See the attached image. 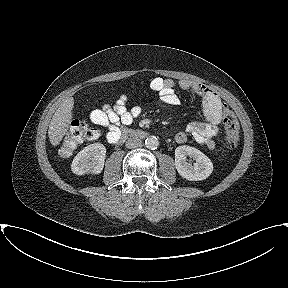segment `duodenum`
<instances>
[{
  "mask_svg": "<svg viewBox=\"0 0 288 288\" xmlns=\"http://www.w3.org/2000/svg\"><path fill=\"white\" fill-rule=\"evenodd\" d=\"M147 135L145 131L142 130H130L125 129L122 131L119 140H124L127 138H144Z\"/></svg>",
  "mask_w": 288,
  "mask_h": 288,
  "instance_id": "1",
  "label": "duodenum"
}]
</instances>
